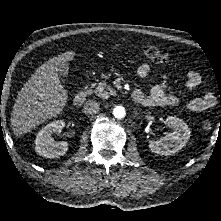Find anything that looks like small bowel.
I'll return each mask as SVG.
<instances>
[{
    "mask_svg": "<svg viewBox=\"0 0 221 221\" xmlns=\"http://www.w3.org/2000/svg\"><path fill=\"white\" fill-rule=\"evenodd\" d=\"M151 67L147 63L141 64L137 68V74L141 78H145L149 75ZM201 83V76L196 71H190L186 75L185 87L187 90H193L198 87ZM140 93V97L136 100L147 107H158V106H174L181 102V98L175 94L167 93L161 86L152 85L145 93L137 90ZM215 103L214 95L206 93L201 97H193L184 101L185 107L193 112H203L211 108Z\"/></svg>",
    "mask_w": 221,
    "mask_h": 221,
    "instance_id": "obj_1",
    "label": "small bowel"
}]
</instances>
